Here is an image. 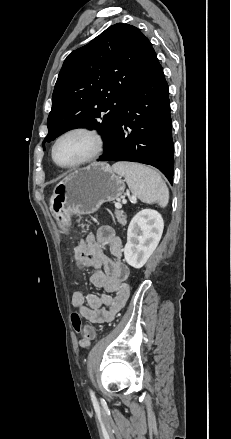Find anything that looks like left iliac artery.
I'll list each match as a JSON object with an SVG mask.
<instances>
[{
	"mask_svg": "<svg viewBox=\"0 0 231 439\" xmlns=\"http://www.w3.org/2000/svg\"><path fill=\"white\" fill-rule=\"evenodd\" d=\"M90 395H91V398H95V394L92 390H90Z\"/></svg>",
	"mask_w": 231,
	"mask_h": 439,
	"instance_id": "obj_1",
	"label": "left iliac artery"
}]
</instances>
